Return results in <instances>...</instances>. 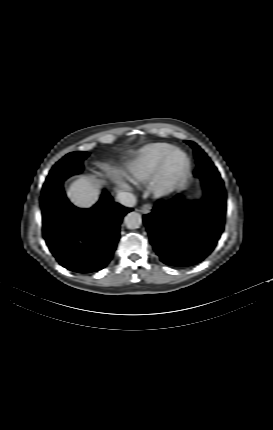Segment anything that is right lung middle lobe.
<instances>
[{
    "instance_id": "obj_1",
    "label": "right lung middle lobe",
    "mask_w": 273,
    "mask_h": 430,
    "mask_svg": "<svg viewBox=\"0 0 273 430\" xmlns=\"http://www.w3.org/2000/svg\"><path fill=\"white\" fill-rule=\"evenodd\" d=\"M89 155L87 152L77 151L67 154L57 162L46 178L43 191L47 192L73 174L80 173L83 170V160Z\"/></svg>"
}]
</instances>
